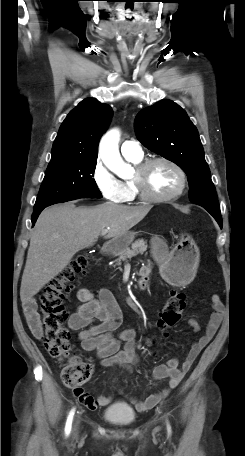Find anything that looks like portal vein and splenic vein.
Segmentation results:
<instances>
[{
	"instance_id": "1",
	"label": "portal vein and splenic vein",
	"mask_w": 245,
	"mask_h": 456,
	"mask_svg": "<svg viewBox=\"0 0 245 456\" xmlns=\"http://www.w3.org/2000/svg\"><path fill=\"white\" fill-rule=\"evenodd\" d=\"M108 229H109V228H107V229H104V230L101 232V234H102V235H106V234H107V232H108Z\"/></svg>"
}]
</instances>
